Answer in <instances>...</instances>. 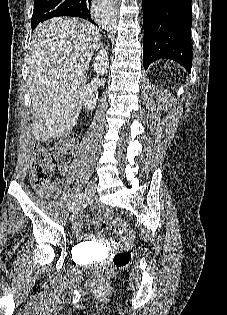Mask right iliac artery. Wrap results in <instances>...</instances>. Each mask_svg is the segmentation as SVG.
<instances>
[{
  "label": "right iliac artery",
  "mask_w": 227,
  "mask_h": 315,
  "mask_svg": "<svg viewBox=\"0 0 227 315\" xmlns=\"http://www.w3.org/2000/svg\"><path fill=\"white\" fill-rule=\"evenodd\" d=\"M83 193L79 195V197L75 200V202L72 203V206L70 208L71 211L74 210L75 206L78 204V202L83 198Z\"/></svg>",
  "instance_id": "obj_1"
}]
</instances>
